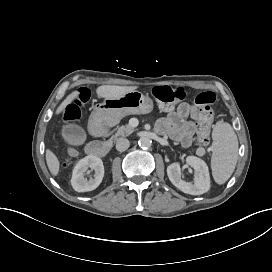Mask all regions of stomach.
Wrapping results in <instances>:
<instances>
[{"mask_svg":"<svg viewBox=\"0 0 272 272\" xmlns=\"http://www.w3.org/2000/svg\"><path fill=\"white\" fill-rule=\"evenodd\" d=\"M103 106L119 117L128 114H145L152 109L151 99L137 90L127 91L118 97L105 98Z\"/></svg>","mask_w":272,"mask_h":272,"instance_id":"obj_1","label":"stomach"}]
</instances>
